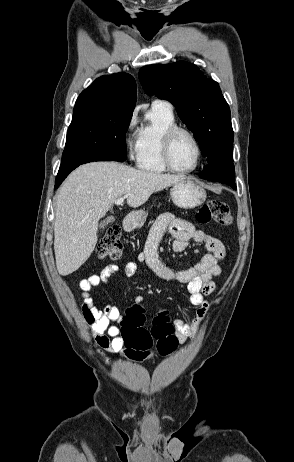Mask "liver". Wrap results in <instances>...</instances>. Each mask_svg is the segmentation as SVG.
Listing matches in <instances>:
<instances>
[{
	"instance_id": "6515ba94",
	"label": "liver",
	"mask_w": 294,
	"mask_h": 462,
	"mask_svg": "<svg viewBox=\"0 0 294 462\" xmlns=\"http://www.w3.org/2000/svg\"><path fill=\"white\" fill-rule=\"evenodd\" d=\"M185 178L116 162H91L78 167L56 195L54 251L59 274L73 273L90 257L97 243L98 222L116 199L126 195L127 204L137 208L153 193Z\"/></svg>"
}]
</instances>
